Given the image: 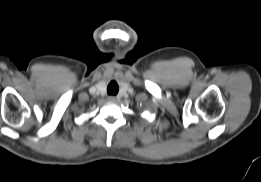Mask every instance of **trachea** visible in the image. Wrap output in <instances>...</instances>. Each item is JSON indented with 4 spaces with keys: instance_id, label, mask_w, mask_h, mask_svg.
<instances>
[{
    "instance_id": "3493384b",
    "label": "trachea",
    "mask_w": 261,
    "mask_h": 182,
    "mask_svg": "<svg viewBox=\"0 0 261 182\" xmlns=\"http://www.w3.org/2000/svg\"><path fill=\"white\" fill-rule=\"evenodd\" d=\"M119 91L118 84L115 81H111L107 87V93L109 95H116Z\"/></svg>"
}]
</instances>
